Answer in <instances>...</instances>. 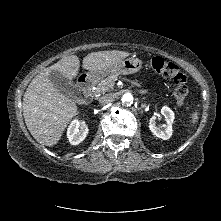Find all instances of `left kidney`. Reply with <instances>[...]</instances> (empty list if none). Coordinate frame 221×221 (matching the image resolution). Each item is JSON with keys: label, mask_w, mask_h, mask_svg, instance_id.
Wrapping results in <instances>:
<instances>
[{"label": "left kidney", "mask_w": 221, "mask_h": 221, "mask_svg": "<svg viewBox=\"0 0 221 221\" xmlns=\"http://www.w3.org/2000/svg\"><path fill=\"white\" fill-rule=\"evenodd\" d=\"M160 113L165 118L166 124H164L161 127H158L156 125L157 115H154L150 118L149 129L156 137L161 138L163 140H167L171 137L173 132L172 124L174 121V113L167 106H163Z\"/></svg>", "instance_id": "1"}]
</instances>
